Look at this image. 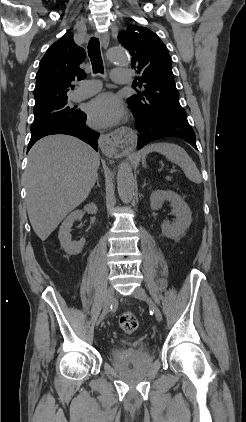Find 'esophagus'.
I'll return each mask as SVG.
<instances>
[{
    "label": "esophagus",
    "instance_id": "1",
    "mask_svg": "<svg viewBox=\"0 0 246 422\" xmlns=\"http://www.w3.org/2000/svg\"><path fill=\"white\" fill-rule=\"evenodd\" d=\"M96 36L100 39L102 47L106 50L109 46V34L96 33ZM99 144L102 152L105 155L112 156L118 153L121 142L114 134H101Z\"/></svg>",
    "mask_w": 246,
    "mask_h": 422
}]
</instances>
